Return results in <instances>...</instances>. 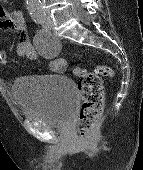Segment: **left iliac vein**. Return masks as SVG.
<instances>
[{
  "instance_id": "1",
  "label": "left iliac vein",
  "mask_w": 143,
  "mask_h": 170,
  "mask_svg": "<svg viewBox=\"0 0 143 170\" xmlns=\"http://www.w3.org/2000/svg\"><path fill=\"white\" fill-rule=\"evenodd\" d=\"M53 28V22L50 17H47V30H51Z\"/></svg>"
}]
</instances>
